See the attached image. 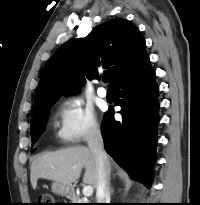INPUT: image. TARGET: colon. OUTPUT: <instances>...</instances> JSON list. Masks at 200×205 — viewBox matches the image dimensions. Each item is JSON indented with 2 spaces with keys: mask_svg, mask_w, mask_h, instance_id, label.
I'll return each instance as SVG.
<instances>
[{
  "mask_svg": "<svg viewBox=\"0 0 200 205\" xmlns=\"http://www.w3.org/2000/svg\"><path fill=\"white\" fill-rule=\"evenodd\" d=\"M54 199L50 194H42L38 199V205H53Z\"/></svg>",
  "mask_w": 200,
  "mask_h": 205,
  "instance_id": "5ec220e1",
  "label": "colon"
}]
</instances>
